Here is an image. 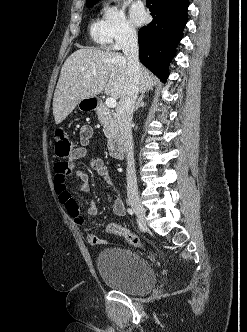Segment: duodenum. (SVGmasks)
Listing matches in <instances>:
<instances>
[{
    "label": "duodenum",
    "mask_w": 247,
    "mask_h": 332,
    "mask_svg": "<svg viewBox=\"0 0 247 332\" xmlns=\"http://www.w3.org/2000/svg\"><path fill=\"white\" fill-rule=\"evenodd\" d=\"M91 106L94 109H98L102 106L99 100L93 99ZM109 152L114 158H122L124 154V145L120 135H114L108 143Z\"/></svg>",
    "instance_id": "410a0bca"
}]
</instances>
